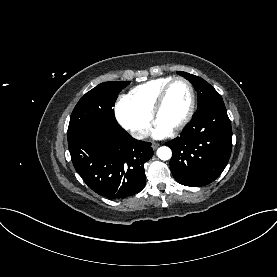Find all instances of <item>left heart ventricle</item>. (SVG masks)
I'll return each instance as SVG.
<instances>
[{"mask_svg":"<svg viewBox=\"0 0 277 277\" xmlns=\"http://www.w3.org/2000/svg\"><path fill=\"white\" fill-rule=\"evenodd\" d=\"M190 104V92L183 82L174 83L166 97L164 105L159 112L158 122L174 128L185 117Z\"/></svg>","mask_w":277,"mask_h":277,"instance_id":"obj_1","label":"left heart ventricle"}]
</instances>
